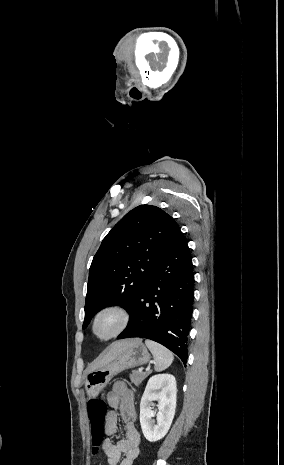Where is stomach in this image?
Masks as SVG:
<instances>
[{
    "instance_id": "obj_1",
    "label": "stomach",
    "mask_w": 284,
    "mask_h": 465,
    "mask_svg": "<svg viewBox=\"0 0 284 465\" xmlns=\"http://www.w3.org/2000/svg\"><path fill=\"white\" fill-rule=\"evenodd\" d=\"M150 359L151 355L142 343H137V345L125 349L114 361H111L108 365H104V367L95 369V371L87 375L84 387L89 399H96L99 393L103 391L104 387H107L109 381H111L115 375L121 373V371L146 365V363H149Z\"/></svg>"
}]
</instances>
